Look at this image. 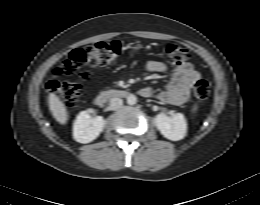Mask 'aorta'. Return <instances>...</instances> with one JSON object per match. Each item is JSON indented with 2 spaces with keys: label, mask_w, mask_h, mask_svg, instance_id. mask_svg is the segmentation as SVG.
Wrapping results in <instances>:
<instances>
[{
  "label": "aorta",
  "mask_w": 260,
  "mask_h": 205,
  "mask_svg": "<svg viewBox=\"0 0 260 205\" xmlns=\"http://www.w3.org/2000/svg\"><path fill=\"white\" fill-rule=\"evenodd\" d=\"M127 103H128L129 105H134V104H136V103H137V98H136V96L133 95V94H130V95L127 97Z\"/></svg>",
  "instance_id": "aorta-1"
}]
</instances>
